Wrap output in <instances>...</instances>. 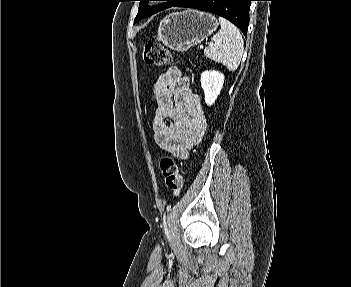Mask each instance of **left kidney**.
<instances>
[{
  "label": "left kidney",
  "mask_w": 351,
  "mask_h": 287,
  "mask_svg": "<svg viewBox=\"0 0 351 287\" xmlns=\"http://www.w3.org/2000/svg\"><path fill=\"white\" fill-rule=\"evenodd\" d=\"M201 87L205 94V102L211 106L215 103L224 84V75L219 71H204L201 74Z\"/></svg>",
  "instance_id": "5707ae66"
}]
</instances>
